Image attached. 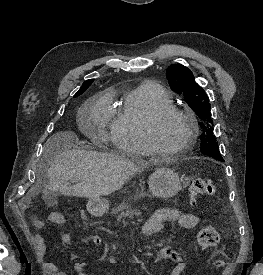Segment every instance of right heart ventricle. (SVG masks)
<instances>
[{
	"instance_id": "e07e8e85",
	"label": "right heart ventricle",
	"mask_w": 263,
	"mask_h": 275,
	"mask_svg": "<svg viewBox=\"0 0 263 275\" xmlns=\"http://www.w3.org/2000/svg\"><path fill=\"white\" fill-rule=\"evenodd\" d=\"M171 105L168 94L156 83H142L128 90L121 106L111 114V138L115 147L130 156L152 154L144 135L146 117L154 110Z\"/></svg>"
}]
</instances>
